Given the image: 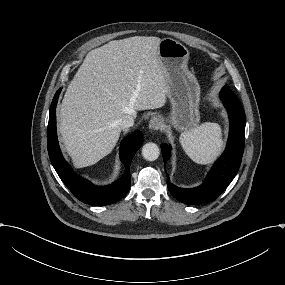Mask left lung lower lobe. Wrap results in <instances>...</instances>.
<instances>
[{
  "label": "left lung lower lobe",
  "mask_w": 285,
  "mask_h": 285,
  "mask_svg": "<svg viewBox=\"0 0 285 285\" xmlns=\"http://www.w3.org/2000/svg\"><path fill=\"white\" fill-rule=\"evenodd\" d=\"M220 98L228 111L230 133L225 152L214 164L205 182L199 187L184 189L170 183L167 176L170 193L188 205L203 204L217 199L233 180L241 164L245 143V113L241 102L228 86L222 88ZM161 149L166 169L171 147L163 143Z\"/></svg>",
  "instance_id": "0a47b994"
}]
</instances>
